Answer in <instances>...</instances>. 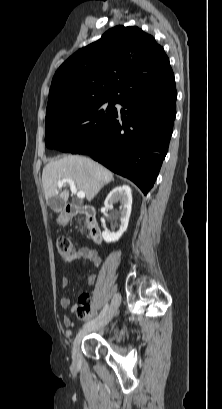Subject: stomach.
Wrapping results in <instances>:
<instances>
[{
	"label": "stomach",
	"instance_id": "1",
	"mask_svg": "<svg viewBox=\"0 0 222 409\" xmlns=\"http://www.w3.org/2000/svg\"><path fill=\"white\" fill-rule=\"evenodd\" d=\"M71 216L67 212H61L57 218V223L60 226H66L70 220Z\"/></svg>",
	"mask_w": 222,
	"mask_h": 409
}]
</instances>
